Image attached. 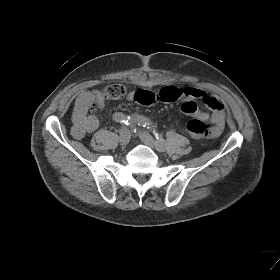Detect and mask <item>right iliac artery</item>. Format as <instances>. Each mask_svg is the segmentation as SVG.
<instances>
[{"label":"right iliac artery","instance_id":"82829eb1","mask_svg":"<svg viewBox=\"0 0 280 280\" xmlns=\"http://www.w3.org/2000/svg\"><path fill=\"white\" fill-rule=\"evenodd\" d=\"M113 119H114L116 122H120V123H122V124H125V125H127V126H130L132 133H133V132L136 133V130H137V129H136V127H135V124H134L133 120L130 119L129 116H126V115H124V114L118 112V113H115V114L113 115Z\"/></svg>","mask_w":280,"mask_h":280}]
</instances>
